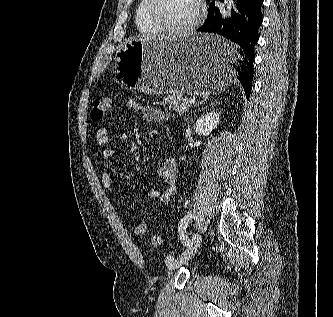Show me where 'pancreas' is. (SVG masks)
I'll return each mask as SVG.
<instances>
[{
  "label": "pancreas",
  "instance_id": "obj_1",
  "mask_svg": "<svg viewBox=\"0 0 333 317\" xmlns=\"http://www.w3.org/2000/svg\"><path fill=\"white\" fill-rule=\"evenodd\" d=\"M163 103L169 108L176 111L178 114L182 115L189 111L192 105L189 103L188 98L183 95H171L167 94L164 96Z\"/></svg>",
  "mask_w": 333,
  "mask_h": 317
}]
</instances>
